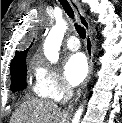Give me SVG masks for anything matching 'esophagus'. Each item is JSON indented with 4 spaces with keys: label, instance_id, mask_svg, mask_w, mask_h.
Masks as SVG:
<instances>
[{
    "label": "esophagus",
    "instance_id": "34e87169",
    "mask_svg": "<svg viewBox=\"0 0 122 123\" xmlns=\"http://www.w3.org/2000/svg\"><path fill=\"white\" fill-rule=\"evenodd\" d=\"M70 4L73 7V9L75 10V12L77 13L80 24L84 27V29L86 31L85 46H86L87 59H88V63H89V71H88V76L85 79V81L83 82L82 86L79 88V90L76 92L73 99L70 101L69 106H68V111L73 109L74 104L78 101L83 90L86 88L88 82L91 79V75H92V71H93V52H94L92 30H91L90 24L85 16V14H84L83 9L77 0H71Z\"/></svg>",
    "mask_w": 122,
    "mask_h": 123
}]
</instances>
